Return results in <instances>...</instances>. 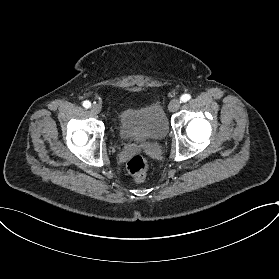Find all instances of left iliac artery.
Wrapping results in <instances>:
<instances>
[{
	"instance_id": "44dca946",
	"label": "left iliac artery",
	"mask_w": 279,
	"mask_h": 279,
	"mask_svg": "<svg viewBox=\"0 0 279 279\" xmlns=\"http://www.w3.org/2000/svg\"><path fill=\"white\" fill-rule=\"evenodd\" d=\"M190 98H191L190 94H183V95L180 97V103H181V102H187Z\"/></svg>"
}]
</instances>
